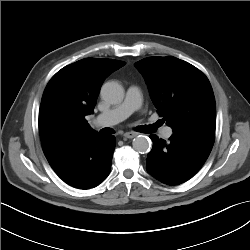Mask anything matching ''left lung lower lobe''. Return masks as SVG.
I'll return each instance as SVG.
<instances>
[{
  "label": "left lung lower lobe",
  "mask_w": 250,
  "mask_h": 250,
  "mask_svg": "<svg viewBox=\"0 0 250 250\" xmlns=\"http://www.w3.org/2000/svg\"><path fill=\"white\" fill-rule=\"evenodd\" d=\"M152 150L146 169L154 178L168 185H178L194 176L205 163L215 135L208 133L173 132L169 141L150 135Z\"/></svg>",
  "instance_id": "1"
}]
</instances>
